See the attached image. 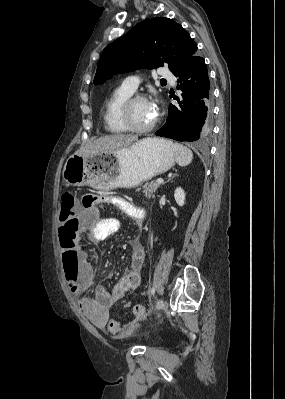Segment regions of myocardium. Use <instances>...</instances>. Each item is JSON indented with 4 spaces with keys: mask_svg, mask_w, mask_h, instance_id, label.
<instances>
[{
    "mask_svg": "<svg viewBox=\"0 0 285 399\" xmlns=\"http://www.w3.org/2000/svg\"><path fill=\"white\" fill-rule=\"evenodd\" d=\"M138 100H147V98L141 94L131 95L122 105L121 119L126 129L129 130L130 132L145 133L152 130L156 126L158 122V116L155 117L154 121L151 124L145 127H136L132 121L131 109L133 104Z\"/></svg>",
    "mask_w": 285,
    "mask_h": 399,
    "instance_id": "myocardium-1",
    "label": "myocardium"
}]
</instances>
